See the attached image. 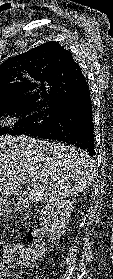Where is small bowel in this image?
I'll return each mask as SVG.
<instances>
[{
    "instance_id": "obj_1",
    "label": "small bowel",
    "mask_w": 113,
    "mask_h": 279,
    "mask_svg": "<svg viewBox=\"0 0 113 279\" xmlns=\"http://www.w3.org/2000/svg\"><path fill=\"white\" fill-rule=\"evenodd\" d=\"M8 264H9V267H16L19 265V263H16L14 261H10V263H8ZM0 279H2L1 274H0Z\"/></svg>"
}]
</instances>
